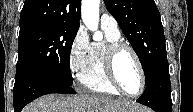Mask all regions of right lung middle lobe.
Listing matches in <instances>:
<instances>
[{
	"label": "right lung middle lobe",
	"mask_w": 193,
	"mask_h": 112,
	"mask_svg": "<svg viewBox=\"0 0 193 112\" xmlns=\"http://www.w3.org/2000/svg\"><path fill=\"white\" fill-rule=\"evenodd\" d=\"M78 29L74 26L41 24L20 30L15 82L39 74L73 87L70 52Z\"/></svg>",
	"instance_id": "obj_1"
}]
</instances>
